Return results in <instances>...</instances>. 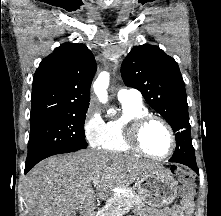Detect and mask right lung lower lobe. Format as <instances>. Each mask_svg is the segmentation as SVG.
<instances>
[{
	"instance_id": "obj_1",
	"label": "right lung lower lobe",
	"mask_w": 221,
	"mask_h": 216,
	"mask_svg": "<svg viewBox=\"0 0 221 216\" xmlns=\"http://www.w3.org/2000/svg\"><path fill=\"white\" fill-rule=\"evenodd\" d=\"M35 164L25 165V174L34 166Z\"/></svg>"
}]
</instances>
